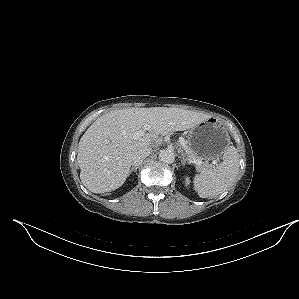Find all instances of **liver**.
Listing matches in <instances>:
<instances>
[{"instance_id": "liver-1", "label": "liver", "mask_w": 299, "mask_h": 299, "mask_svg": "<svg viewBox=\"0 0 299 299\" xmlns=\"http://www.w3.org/2000/svg\"><path fill=\"white\" fill-rule=\"evenodd\" d=\"M210 115L179 108L150 107L110 111L86 130L78 144L83 185L93 193L116 190L129 176L134 152L151 148L158 135L189 130ZM148 127L135 138L134 133Z\"/></svg>"}]
</instances>
